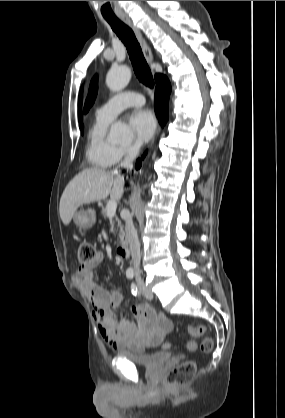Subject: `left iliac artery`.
<instances>
[{
  "label": "left iliac artery",
  "mask_w": 285,
  "mask_h": 418,
  "mask_svg": "<svg viewBox=\"0 0 285 418\" xmlns=\"http://www.w3.org/2000/svg\"><path fill=\"white\" fill-rule=\"evenodd\" d=\"M131 292L133 295L137 296L139 294L138 289L134 283L131 285Z\"/></svg>",
  "instance_id": "1"
}]
</instances>
